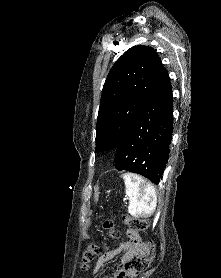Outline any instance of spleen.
Returning a JSON list of instances; mask_svg holds the SVG:
<instances>
[{
  "label": "spleen",
  "mask_w": 221,
  "mask_h": 278,
  "mask_svg": "<svg viewBox=\"0 0 221 278\" xmlns=\"http://www.w3.org/2000/svg\"><path fill=\"white\" fill-rule=\"evenodd\" d=\"M122 178L125 194L129 198L128 212L137 218L150 217L157 206L155 188L136 174L125 173Z\"/></svg>",
  "instance_id": "obj_1"
}]
</instances>
